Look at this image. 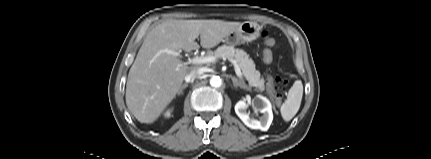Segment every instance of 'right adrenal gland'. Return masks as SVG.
I'll use <instances>...</instances> for the list:
<instances>
[{"mask_svg": "<svg viewBox=\"0 0 431 159\" xmlns=\"http://www.w3.org/2000/svg\"><path fill=\"white\" fill-rule=\"evenodd\" d=\"M188 87V84H183L182 86H181V88H180V91H179V93H178V95H180V94H182L183 93V90L185 89V88H187Z\"/></svg>", "mask_w": 431, "mask_h": 159, "instance_id": "1", "label": "right adrenal gland"}]
</instances>
